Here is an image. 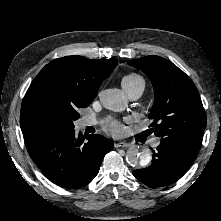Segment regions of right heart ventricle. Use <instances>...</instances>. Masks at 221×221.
Listing matches in <instances>:
<instances>
[{"instance_id":"right-heart-ventricle-1","label":"right heart ventricle","mask_w":221,"mask_h":221,"mask_svg":"<svg viewBox=\"0 0 221 221\" xmlns=\"http://www.w3.org/2000/svg\"><path fill=\"white\" fill-rule=\"evenodd\" d=\"M137 84H143V85L145 84L144 79L138 74L131 73V74L124 76L122 79L123 87H130V86L137 85Z\"/></svg>"}]
</instances>
